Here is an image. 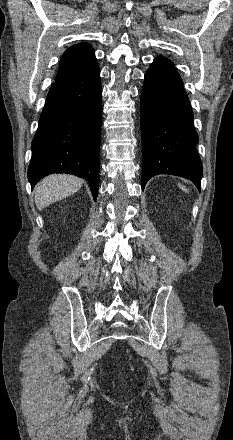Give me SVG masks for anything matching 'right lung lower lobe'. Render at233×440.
Here are the masks:
<instances>
[{
	"label": "right lung lower lobe",
	"mask_w": 233,
	"mask_h": 440,
	"mask_svg": "<svg viewBox=\"0 0 233 440\" xmlns=\"http://www.w3.org/2000/svg\"><path fill=\"white\" fill-rule=\"evenodd\" d=\"M99 66L55 81L47 95L32 141L28 168L31 187L52 173L86 178L96 200L102 114Z\"/></svg>",
	"instance_id": "obj_1"
}]
</instances>
